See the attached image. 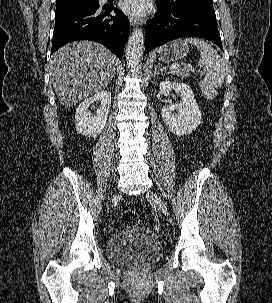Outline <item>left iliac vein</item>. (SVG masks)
I'll use <instances>...</instances> for the list:
<instances>
[{"label": "left iliac vein", "mask_w": 272, "mask_h": 303, "mask_svg": "<svg viewBox=\"0 0 272 303\" xmlns=\"http://www.w3.org/2000/svg\"><path fill=\"white\" fill-rule=\"evenodd\" d=\"M147 197L152 200V202L157 205V207L162 211V213L164 215H168V210L167 207L165 205V203L163 202V200L154 192L148 191L147 192Z\"/></svg>", "instance_id": "obj_1"}]
</instances>
